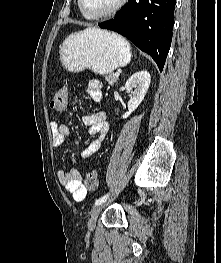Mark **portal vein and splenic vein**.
I'll return each mask as SVG.
<instances>
[{
	"mask_svg": "<svg viewBox=\"0 0 221 263\" xmlns=\"http://www.w3.org/2000/svg\"><path fill=\"white\" fill-rule=\"evenodd\" d=\"M114 75H115L116 77H119V73H118V72H116Z\"/></svg>",
	"mask_w": 221,
	"mask_h": 263,
	"instance_id": "obj_1",
	"label": "portal vein and splenic vein"
}]
</instances>
